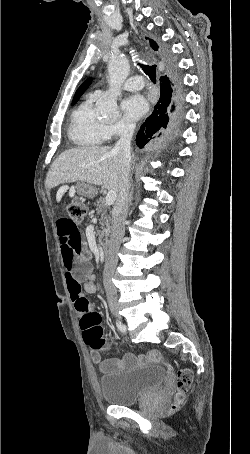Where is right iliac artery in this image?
I'll use <instances>...</instances> for the list:
<instances>
[{
    "label": "right iliac artery",
    "mask_w": 250,
    "mask_h": 454,
    "mask_svg": "<svg viewBox=\"0 0 250 454\" xmlns=\"http://www.w3.org/2000/svg\"><path fill=\"white\" fill-rule=\"evenodd\" d=\"M116 325H117V328H118L121 332H125V331H126L125 325H123L119 320H116Z\"/></svg>",
    "instance_id": "obj_1"
}]
</instances>
